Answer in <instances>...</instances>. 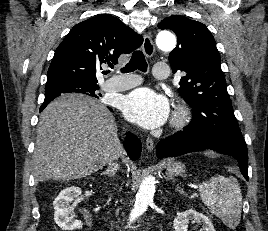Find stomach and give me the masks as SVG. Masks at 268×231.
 <instances>
[{"instance_id": "stomach-1", "label": "stomach", "mask_w": 268, "mask_h": 231, "mask_svg": "<svg viewBox=\"0 0 268 231\" xmlns=\"http://www.w3.org/2000/svg\"><path fill=\"white\" fill-rule=\"evenodd\" d=\"M185 172V165L181 162H174L170 164L167 168V174L169 176H179Z\"/></svg>"}]
</instances>
